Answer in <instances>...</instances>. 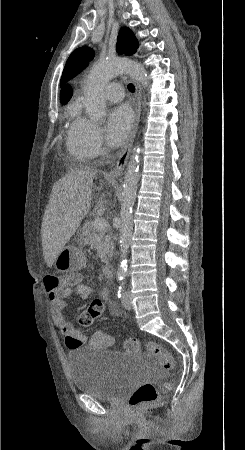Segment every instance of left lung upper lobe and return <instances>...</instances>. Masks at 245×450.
I'll use <instances>...</instances> for the list:
<instances>
[{
    "mask_svg": "<svg viewBox=\"0 0 245 450\" xmlns=\"http://www.w3.org/2000/svg\"><path fill=\"white\" fill-rule=\"evenodd\" d=\"M137 48L138 41L133 32L129 28H122L118 36L117 50L120 53L132 55L137 51ZM93 57L94 51L88 47H81L73 51L66 62L60 85L86 68Z\"/></svg>",
    "mask_w": 245,
    "mask_h": 450,
    "instance_id": "1",
    "label": "left lung upper lobe"
}]
</instances>
